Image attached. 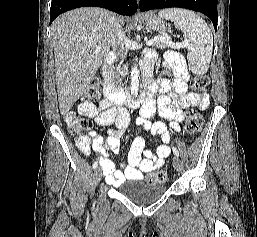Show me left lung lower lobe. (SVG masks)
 Segmentation results:
<instances>
[{
	"mask_svg": "<svg viewBox=\"0 0 257 237\" xmlns=\"http://www.w3.org/2000/svg\"><path fill=\"white\" fill-rule=\"evenodd\" d=\"M139 7L141 11L170 7L198 11L208 16L213 22L215 31L217 29V0H140Z\"/></svg>",
	"mask_w": 257,
	"mask_h": 237,
	"instance_id": "obj_1",
	"label": "left lung lower lobe"
}]
</instances>
